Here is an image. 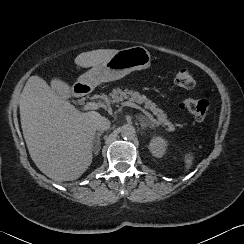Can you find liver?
I'll list each match as a JSON object with an SVG mask.
<instances>
[{
    "label": "liver",
    "instance_id": "1",
    "mask_svg": "<svg viewBox=\"0 0 244 244\" xmlns=\"http://www.w3.org/2000/svg\"><path fill=\"white\" fill-rule=\"evenodd\" d=\"M115 49L83 52L75 64L97 67ZM72 88L54 78L51 86L39 76L28 79L20 96L21 127L29 154L47 177L58 181L78 179L90 166L95 138L96 111L81 112L68 102Z\"/></svg>",
    "mask_w": 244,
    "mask_h": 244
}]
</instances>
